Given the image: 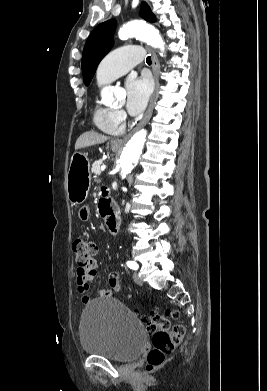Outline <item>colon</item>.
I'll return each instance as SVG.
<instances>
[{
	"mask_svg": "<svg viewBox=\"0 0 267 391\" xmlns=\"http://www.w3.org/2000/svg\"><path fill=\"white\" fill-rule=\"evenodd\" d=\"M72 248L77 270L82 272L89 270L98 252L97 243L94 240L78 238L73 242ZM109 281L111 289L118 290L117 274L112 273ZM178 316L176 310H170L166 315L150 313L142 316V322L151 334V349L147 354L148 368L162 364L182 340L185 333L184 327L177 325L171 328L168 319V317L176 319Z\"/></svg>",
	"mask_w": 267,
	"mask_h": 391,
	"instance_id": "obj_1",
	"label": "colon"
}]
</instances>
